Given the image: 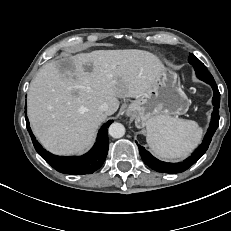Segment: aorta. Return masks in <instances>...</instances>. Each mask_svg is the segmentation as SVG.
I'll return each instance as SVG.
<instances>
[{"mask_svg":"<svg viewBox=\"0 0 231 231\" xmlns=\"http://www.w3.org/2000/svg\"><path fill=\"white\" fill-rule=\"evenodd\" d=\"M125 134V127L121 123H112L109 127V135L113 138H121Z\"/></svg>","mask_w":231,"mask_h":231,"instance_id":"obj_1","label":"aorta"}]
</instances>
